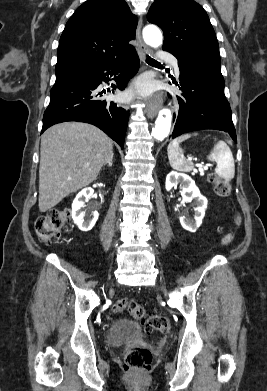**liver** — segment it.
Listing matches in <instances>:
<instances>
[{
	"label": "liver",
	"mask_w": 267,
	"mask_h": 391,
	"mask_svg": "<svg viewBox=\"0 0 267 391\" xmlns=\"http://www.w3.org/2000/svg\"><path fill=\"white\" fill-rule=\"evenodd\" d=\"M112 156V140L93 125L65 122L46 130L40 148V212L96 180Z\"/></svg>",
	"instance_id": "1"
}]
</instances>
